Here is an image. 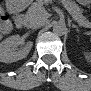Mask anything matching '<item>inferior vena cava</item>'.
I'll return each mask as SVG.
<instances>
[{"mask_svg": "<svg viewBox=\"0 0 91 91\" xmlns=\"http://www.w3.org/2000/svg\"><path fill=\"white\" fill-rule=\"evenodd\" d=\"M44 24H45V22L43 20H39L36 22H30L28 24V28L37 29V28L43 26Z\"/></svg>", "mask_w": 91, "mask_h": 91, "instance_id": "602c4592", "label": "inferior vena cava"}]
</instances>
